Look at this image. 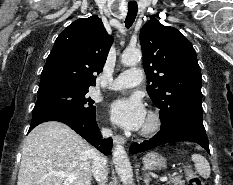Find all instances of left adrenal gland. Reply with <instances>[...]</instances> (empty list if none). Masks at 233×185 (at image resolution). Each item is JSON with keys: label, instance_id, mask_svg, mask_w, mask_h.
<instances>
[{"label": "left adrenal gland", "instance_id": "left-adrenal-gland-1", "mask_svg": "<svg viewBox=\"0 0 233 185\" xmlns=\"http://www.w3.org/2000/svg\"><path fill=\"white\" fill-rule=\"evenodd\" d=\"M150 181H151L150 176L145 172L144 173V183H145V185H149Z\"/></svg>", "mask_w": 233, "mask_h": 185}]
</instances>
